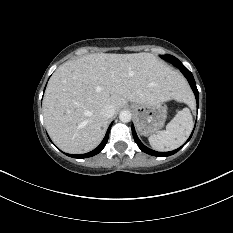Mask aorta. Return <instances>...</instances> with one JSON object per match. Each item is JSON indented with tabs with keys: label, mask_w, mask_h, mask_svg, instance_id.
<instances>
[{
	"label": "aorta",
	"mask_w": 233,
	"mask_h": 233,
	"mask_svg": "<svg viewBox=\"0 0 233 233\" xmlns=\"http://www.w3.org/2000/svg\"><path fill=\"white\" fill-rule=\"evenodd\" d=\"M132 114L128 110H122L119 114V119L121 122L127 123L130 122Z\"/></svg>",
	"instance_id": "1"
}]
</instances>
